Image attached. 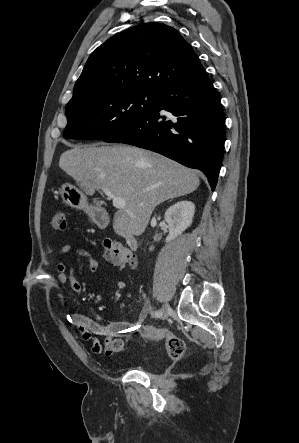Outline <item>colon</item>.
<instances>
[{"instance_id":"1","label":"colon","mask_w":299,"mask_h":443,"mask_svg":"<svg viewBox=\"0 0 299 443\" xmlns=\"http://www.w3.org/2000/svg\"><path fill=\"white\" fill-rule=\"evenodd\" d=\"M54 230L64 231L67 227L66 217L63 211H56L51 220ZM103 252L106 260L119 268L133 267L136 264L135 254L131 247L118 239H106L103 241ZM139 334L150 340H164L169 356L173 359H180L186 349L182 338L165 328L147 325L140 329Z\"/></svg>"}]
</instances>
